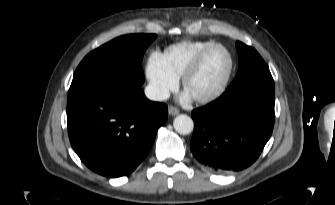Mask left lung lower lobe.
<instances>
[{
  "instance_id": "1",
  "label": "left lung lower lobe",
  "mask_w": 335,
  "mask_h": 205,
  "mask_svg": "<svg viewBox=\"0 0 335 205\" xmlns=\"http://www.w3.org/2000/svg\"><path fill=\"white\" fill-rule=\"evenodd\" d=\"M274 104V90L246 86L227 89L214 102L193 110V155L219 172L247 168L271 136Z\"/></svg>"
}]
</instances>
